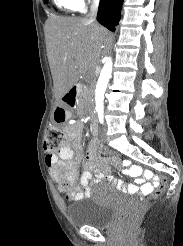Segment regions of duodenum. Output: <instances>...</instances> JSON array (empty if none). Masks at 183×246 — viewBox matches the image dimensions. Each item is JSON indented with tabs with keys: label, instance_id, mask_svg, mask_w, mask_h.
Listing matches in <instances>:
<instances>
[{
	"label": "duodenum",
	"instance_id": "duodenum-1",
	"mask_svg": "<svg viewBox=\"0 0 183 246\" xmlns=\"http://www.w3.org/2000/svg\"><path fill=\"white\" fill-rule=\"evenodd\" d=\"M81 90L82 86L80 85L72 86L65 96H63V101H65L68 106L75 107ZM103 147L104 144L100 143V139H93V143L89 145V151H101Z\"/></svg>",
	"mask_w": 183,
	"mask_h": 246
}]
</instances>
